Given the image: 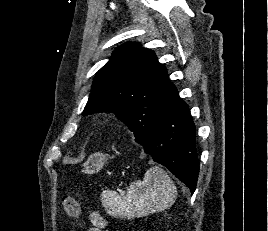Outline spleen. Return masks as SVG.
<instances>
[{"label": "spleen", "mask_w": 268, "mask_h": 231, "mask_svg": "<svg viewBox=\"0 0 268 231\" xmlns=\"http://www.w3.org/2000/svg\"><path fill=\"white\" fill-rule=\"evenodd\" d=\"M177 196L174 182L158 166H152L143 178L130 184L126 193L104 190L101 202L113 217L133 219L161 212L171 207Z\"/></svg>", "instance_id": "obj_1"}]
</instances>
